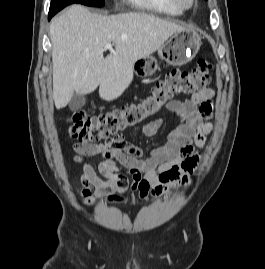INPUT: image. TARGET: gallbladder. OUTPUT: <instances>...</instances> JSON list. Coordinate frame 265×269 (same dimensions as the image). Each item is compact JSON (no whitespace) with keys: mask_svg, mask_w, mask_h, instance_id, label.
Wrapping results in <instances>:
<instances>
[{"mask_svg":"<svg viewBox=\"0 0 265 269\" xmlns=\"http://www.w3.org/2000/svg\"><path fill=\"white\" fill-rule=\"evenodd\" d=\"M86 102V98L84 95H79L74 93L70 102H69V108L72 111H76L84 106Z\"/></svg>","mask_w":265,"mask_h":269,"instance_id":"1","label":"gallbladder"}]
</instances>
